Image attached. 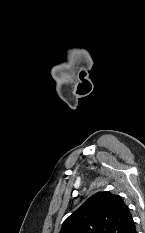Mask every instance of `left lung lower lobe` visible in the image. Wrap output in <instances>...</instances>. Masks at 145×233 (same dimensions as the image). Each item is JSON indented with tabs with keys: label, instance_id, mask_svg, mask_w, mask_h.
<instances>
[{
	"label": "left lung lower lobe",
	"instance_id": "left-lung-lower-lobe-1",
	"mask_svg": "<svg viewBox=\"0 0 145 233\" xmlns=\"http://www.w3.org/2000/svg\"><path fill=\"white\" fill-rule=\"evenodd\" d=\"M132 233H136V229H134V231Z\"/></svg>",
	"mask_w": 145,
	"mask_h": 233
}]
</instances>
